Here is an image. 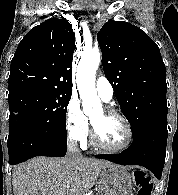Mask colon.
I'll return each mask as SVG.
<instances>
[{"mask_svg": "<svg viewBox=\"0 0 178 195\" xmlns=\"http://www.w3.org/2000/svg\"><path fill=\"white\" fill-rule=\"evenodd\" d=\"M134 177L138 187L137 195H151L152 183L150 178L140 171L136 172Z\"/></svg>", "mask_w": 178, "mask_h": 195, "instance_id": "1", "label": "colon"}]
</instances>
